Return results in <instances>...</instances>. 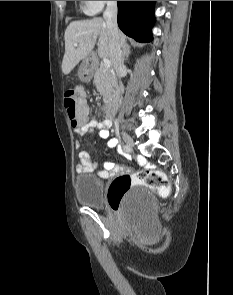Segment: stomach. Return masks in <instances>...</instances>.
I'll list each match as a JSON object with an SVG mask.
<instances>
[{
	"instance_id": "obj_1",
	"label": "stomach",
	"mask_w": 233,
	"mask_h": 295,
	"mask_svg": "<svg viewBox=\"0 0 233 295\" xmlns=\"http://www.w3.org/2000/svg\"><path fill=\"white\" fill-rule=\"evenodd\" d=\"M78 76L81 81L83 82H88L91 77H92V67L87 60H84L83 63L81 64L79 71H78Z\"/></svg>"
}]
</instances>
